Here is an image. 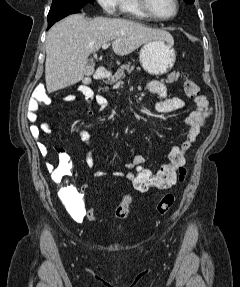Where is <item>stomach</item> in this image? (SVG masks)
<instances>
[{
	"label": "stomach",
	"mask_w": 240,
	"mask_h": 287,
	"mask_svg": "<svg viewBox=\"0 0 240 287\" xmlns=\"http://www.w3.org/2000/svg\"><path fill=\"white\" fill-rule=\"evenodd\" d=\"M174 41L155 39L144 43L139 53L143 69L151 75H163L170 71L176 61Z\"/></svg>",
	"instance_id": "stomach-1"
}]
</instances>
